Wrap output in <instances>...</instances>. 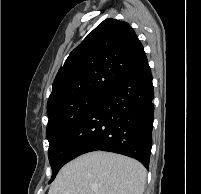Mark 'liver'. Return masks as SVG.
<instances>
[{
  "label": "liver",
  "instance_id": "obj_1",
  "mask_svg": "<svg viewBox=\"0 0 201 194\" xmlns=\"http://www.w3.org/2000/svg\"><path fill=\"white\" fill-rule=\"evenodd\" d=\"M146 169L123 155L95 151L66 164L48 194H143Z\"/></svg>",
  "mask_w": 201,
  "mask_h": 194
}]
</instances>
